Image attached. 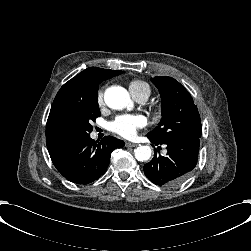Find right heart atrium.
<instances>
[{
  "label": "right heart atrium",
  "mask_w": 251,
  "mask_h": 251,
  "mask_svg": "<svg viewBox=\"0 0 251 251\" xmlns=\"http://www.w3.org/2000/svg\"><path fill=\"white\" fill-rule=\"evenodd\" d=\"M97 104L99 106L103 105L104 103V88L103 87H99V89L97 90Z\"/></svg>",
  "instance_id": "right-heart-atrium-1"
}]
</instances>
